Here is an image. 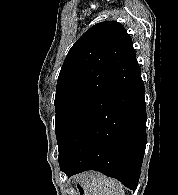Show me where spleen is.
<instances>
[{
	"label": "spleen",
	"instance_id": "spleen-1",
	"mask_svg": "<svg viewBox=\"0 0 178 195\" xmlns=\"http://www.w3.org/2000/svg\"><path fill=\"white\" fill-rule=\"evenodd\" d=\"M80 184L88 195H125L120 182L97 172L81 177Z\"/></svg>",
	"mask_w": 178,
	"mask_h": 195
}]
</instances>
